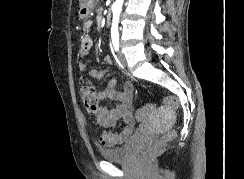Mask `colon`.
<instances>
[{"label": "colon", "mask_w": 244, "mask_h": 179, "mask_svg": "<svg viewBox=\"0 0 244 179\" xmlns=\"http://www.w3.org/2000/svg\"><path fill=\"white\" fill-rule=\"evenodd\" d=\"M80 96L87 112L95 114L97 104L94 86L90 83L84 84L80 89ZM165 104H168V107H177L178 99H176V96H165ZM154 109H156V104H152L151 101H148L145 107H137L139 118H136V123H147V119H150V112H154ZM175 137V132L166 133L165 137H159V142H155V147H150V150H146L145 158H152L153 155H157V152H162V147H166V142H171V138Z\"/></svg>", "instance_id": "1"}]
</instances>
